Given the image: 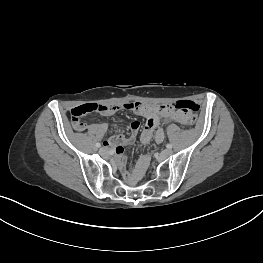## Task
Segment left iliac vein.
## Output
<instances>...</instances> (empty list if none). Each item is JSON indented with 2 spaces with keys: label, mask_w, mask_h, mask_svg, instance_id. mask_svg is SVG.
<instances>
[{
  "label": "left iliac vein",
  "mask_w": 263,
  "mask_h": 263,
  "mask_svg": "<svg viewBox=\"0 0 263 263\" xmlns=\"http://www.w3.org/2000/svg\"><path fill=\"white\" fill-rule=\"evenodd\" d=\"M172 153H173V151L171 149H165V150L162 151L161 157L162 158H167L170 155H172Z\"/></svg>",
  "instance_id": "1"
}]
</instances>
